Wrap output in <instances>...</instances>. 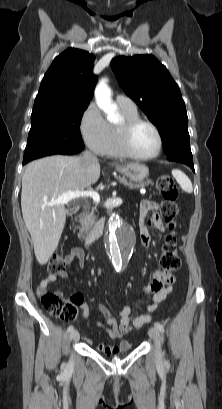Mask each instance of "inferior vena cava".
<instances>
[{
  "instance_id": "602c4592",
  "label": "inferior vena cava",
  "mask_w": 222,
  "mask_h": 409,
  "mask_svg": "<svg viewBox=\"0 0 222 409\" xmlns=\"http://www.w3.org/2000/svg\"><path fill=\"white\" fill-rule=\"evenodd\" d=\"M82 159L86 162H97L98 161L97 157L90 151H85L83 153Z\"/></svg>"
}]
</instances>
